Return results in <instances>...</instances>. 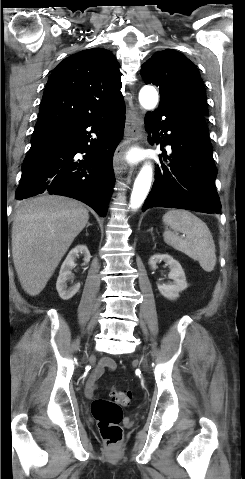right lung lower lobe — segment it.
I'll return each mask as SVG.
<instances>
[{"instance_id": "right-lung-lower-lobe-1", "label": "right lung lower lobe", "mask_w": 245, "mask_h": 479, "mask_svg": "<svg viewBox=\"0 0 245 479\" xmlns=\"http://www.w3.org/2000/svg\"><path fill=\"white\" fill-rule=\"evenodd\" d=\"M124 126L125 107L60 121L35 133L15 198L63 195L105 217L115 180L112 157Z\"/></svg>"}]
</instances>
